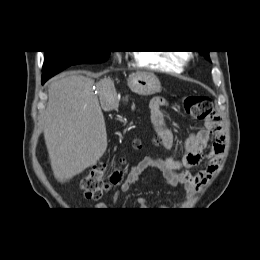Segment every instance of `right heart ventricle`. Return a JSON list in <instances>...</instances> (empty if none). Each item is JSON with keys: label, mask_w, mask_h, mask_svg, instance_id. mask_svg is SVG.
Wrapping results in <instances>:
<instances>
[{"label": "right heart ventricle", "mask_w": 260, "mask_h": 260, "mask_svg": "<svg viewBox=\"0 0 260 260\" xmlns=\"http://www.w3.org/2000/svg\"><path fill=\"white\" fill-rule=\"evenodd\" d=\"M135 58L142 66L175 73L183 71L188 61L186 56L178 53L138 52Z\"/></svg>", "instance_id": "right-heart-ventricle-1"}]
</instances>
